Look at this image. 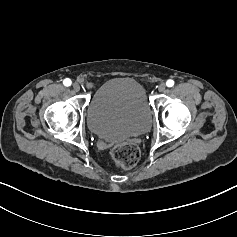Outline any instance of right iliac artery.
<instances>
[{"label": "right iliac artery", "mask_w": 237, "mask_h": 237, "mask_svg": "<svg viewBox=\"0 0 237 237\" xmlns=\"http://www.w3.org/2000/svg\"><path fill=\"white\" fill-rule=\"evenodd\" d=\"M71 80L69 79V78H66V79H64V81H63V84L65 85V86H70L71 85Z\"/></svg>", "instance_id": "obj_1"}]
</instances>
